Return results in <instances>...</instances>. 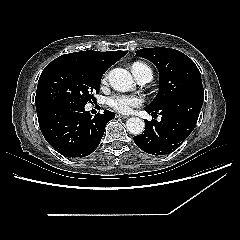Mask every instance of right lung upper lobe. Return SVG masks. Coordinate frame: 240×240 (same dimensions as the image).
<instances>
[{"label": "right lung upper lobe", "instance_id": "obj_1", "mask_svg": "<svg viewBox=\"0 0 240 240\" xmlns=\"http://www.w3.org/2000/svg\"><path fill=\"white\" fill-rule=\"evenodd\" d=\"M126 53V51H80L62 55L53 60L50 64L57 61L70 60L84 65L94 73L103 75L111 65L117 62Z\"/></svg>", "mask_w": 240, "mask_h": 240}]
</instances>
